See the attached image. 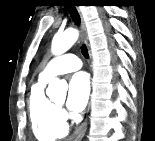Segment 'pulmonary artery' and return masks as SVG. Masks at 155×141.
Masks as SVG:
<instances>
[{
  "label": "pulmonary artery",
  "instance_id": "e3ab8cb5",
  "mask_svg": "<svg viewBox=\"0 0 155 141\" xmlns=\"http://www.w3.org/2000/svg\"><path fill=\"white\" fill-rule=\"evenodd\" d=\"M82 62L79 57L74 54H63L52 59L41 73L40 78L44 80L50 79L52 76L80 69Z\"/></svg>",
  "mask_w": 155,
  "mask_h": 141
}]
</instances>
